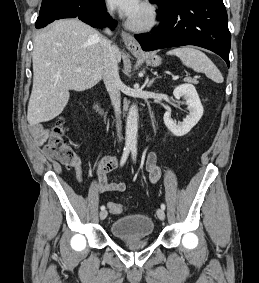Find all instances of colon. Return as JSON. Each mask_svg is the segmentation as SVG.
Instances as JSON below:
<instances>
[{"label":"colon","instance_id":"1","mask_svg":"<svg viewBox=\"0 0 259 283\" xmlns=\"http://www.w3.org/2000/svg\"><path fill=\"white\" fill-rule=\"evenodd\" d=\"M45 153L50 159L59 161L65 166H75L80 163V157L66 138V123L59 120L51 129ZM108 209L113 214H120L124 206L120 203L109 202Z\"/></svg>","mask_w":259,"mask_h":283}]
</instances>
